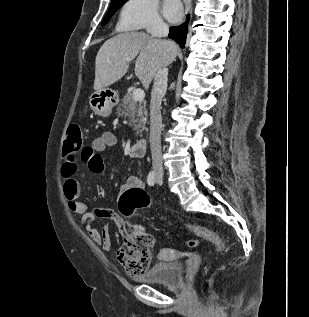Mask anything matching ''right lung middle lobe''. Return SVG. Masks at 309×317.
I'll list each match as a JSON object with an SVG mask.
<instances>
[{"label": "right lung middle lobe", "instance_id": "1", "mask_svg": "<svg viewBox=\"0 0 309 317\" xmlns=\"http://www.w3.org/2000/svg\"><path fill=\"white\" fill-rule=\"evenodd\" d=\"M127 0H112L109 11L106 15V17L103 20L102 25H105L111 16L115 13V11L122 6L123 3H125Z\"/></svg>", "mask_w": 309, "mask_h": 317}]
</instances>
